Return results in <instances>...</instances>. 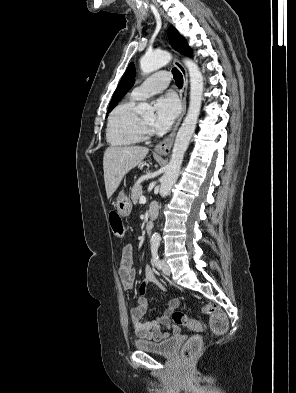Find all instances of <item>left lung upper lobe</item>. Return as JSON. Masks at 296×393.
Instances as JSON below:
<instances>
[{"instance_id": "1", "label": "left lung upper lobe", "mask_w": 296, "mask_h": 393, "mask_svg": "<svg viewBox=\"0 0 296 393\" xmlns=\"http://www.w3.org/2000/svg\"><path fill=\"white\" fill-rule=\"evenodd\" d=\"M168 37H169L170 44L178 52H180L181 54H184V55H191L192 54V50L188 46L186 40L182 36L179 35L178 31L173 26H170L168 28ZM134 73H135V67H134V64L131 63L128 66V69H127L124 77L121 79L117 89L115 90V93L113 95V98H112L109 108H108V113L116 106V104L122 98L124 93L126 91H128L133 86Z\"/></svg>"}]
</instances>
